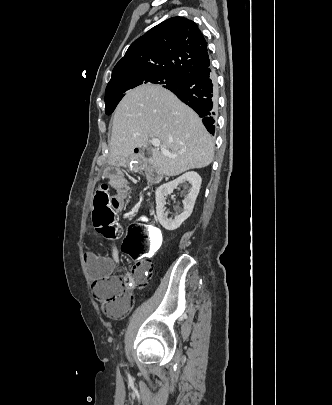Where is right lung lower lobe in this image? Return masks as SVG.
<instances>
[{
    "label": "right lung lower lobe",
    "instance_id": "obj_1",
    "mask_svg": "<svg viewBox=\"0 0 332 405\" xmlns=\"http://www.w3.org/2000/svg\"><path fill=\"white\" fill-rule=\"evenodd\" d=\"M167 89L196 111L202 117L206 129L214 134L217 83L210 64L189 73L179 83Z\"/></svg>",
    "mask_w": 332,
    "mask_h": 405
}]
</instances>
